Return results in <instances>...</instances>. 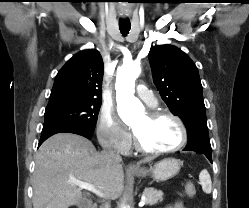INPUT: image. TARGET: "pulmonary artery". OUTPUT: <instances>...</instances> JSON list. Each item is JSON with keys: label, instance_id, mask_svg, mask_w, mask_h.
I'll use <instances>...</instances> for the list:
<instances>
[{"label": "pulmonary artery", "instance_id": "pulmonary-artery-1", "mask_svg": "<svg viewBox=\"0 0 249 208\" xmlns=\"http://www.w3.org/2000/svg\"><path fill=\"white\" fill-rule=\"evenodd\" d=\"M137 96L147 105L151 107L156 106V99L153 95V92L149 90L147 87H145L144 85L137 86Z\"/></svg>", "mask_w": 249, "mask_h": 208}]
</instances>
